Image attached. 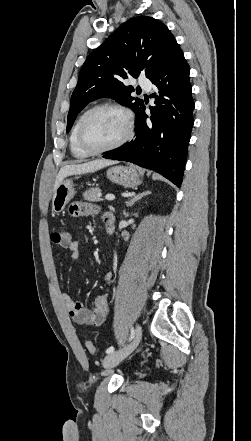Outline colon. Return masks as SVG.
Returning <instances> with one entry per match:
<instances>
[{
  "label": "colon",
  "instance_id": "obj_1",
  "mask_svg": "<svg viewBox=\"0 0 251 441\" xmlns=\"http://www.w3.org/2000/svg\"><path fill=\"white\" fill-rule=\"evenodd\" d=\"M51 241L63 248H67L71 243V234L65 229H55L50 235ZM86 348L89 353H95V346L91 341L86 342Z\"/></svg>",
  "mask_w": 251,
  "mask_h": 441
}]
</instances>
